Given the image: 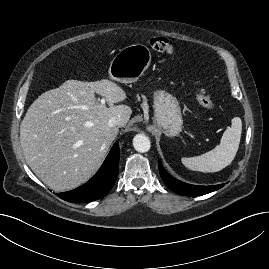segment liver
I'll return each instance as SVG.
<instances>
[{"label": "liver", "instance_id": "1", "mask_svg": "<svg viewBox=\"0 0 269 269\" xmlns=\"http://www.w3.org/2000/svg\"><path fill=\"white\" fill-rule=\"evenodd\" d=\"M95 93L111 106L96 101ZM127 98L116 83L67 80L41 94L28 108L20 125L25 160L35 175L56 192L86 182L99 168L118 128L109 127L112 117L124 127L132 110L113 105Z\"/></svg>", "mask_w": 269, "mask_h": 269}]
</instances>
